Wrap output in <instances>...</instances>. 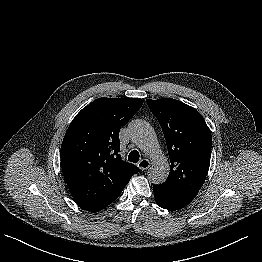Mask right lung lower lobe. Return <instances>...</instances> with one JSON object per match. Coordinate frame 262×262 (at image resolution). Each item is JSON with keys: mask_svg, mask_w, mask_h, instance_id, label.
Listing matches in <instances>:
<instances>
[{"mask_svg": "<svg viewBox=\"0 0 262 262\" xmlns=\"http://www.w3.org/2000/svg\"><path fill=\"white\" fill-rule=\"evenodd\" d=\"M100 211V210H99ZM89 212H97V211H89Z\"/></svg>", "mask_w": 262, "mask_h": 262, "instance_id": "right-lung-lower-lobe-1", "label": "right lung lower lobe"}]
</instances>
